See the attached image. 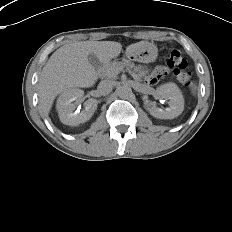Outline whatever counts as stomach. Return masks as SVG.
<instances>
[{"label":"stomach","mask_w":232,"mask_h":232,"mask_svg":"<svg viewBox=\"0 0 232 232\" xmlns=\"http://www.w3.org/2000/svg\"><path fill=\"white\" fill-rule=\"evenodd\" d=\"M157 55H158L157 47L152 43H147L144 46H142L140 49L133 52L132 54L127 55V57L135 61L150 63L156 60Z\"/></svg>","instance_id":"1"}]
</instances>
